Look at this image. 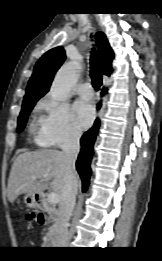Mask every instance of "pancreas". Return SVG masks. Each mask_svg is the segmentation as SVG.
<instances>
[{
	"instance_id": "obj_1",
	"label": "pancreas",
	"mask_w": 162,
	"mask_h": 261,
	"mask_svg": "<svg viewBox=\"0 0 162 261\" xmlns=\"http://www.w3.org/2000/svg\"><path fill=\"white\" fill-rule=\"evenodd\" d=\"M44 210L47 212L51 219L53 220L54 224L49 228V231L46 233V237L51 240L57 236V227H58V220L54 217L52 210L50 208V203L44 205Z\"/></svg>"
}]
</instances>
